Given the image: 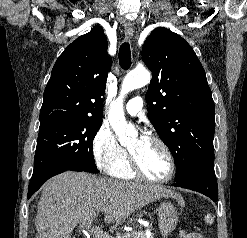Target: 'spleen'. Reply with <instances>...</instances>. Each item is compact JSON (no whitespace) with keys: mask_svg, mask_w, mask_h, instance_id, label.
I'll return each mask as SVG.
<instances>
[{"mask_svg":"<svg viewBox=\"0 0 247 238\" xmlns=\"http://www.w3.org/2000/svg\"><path fill=\"white\" fill-rule=\"evenodd\" d=\"M205 221L208 223V224H212L213 223V221H214V219H213V217L210 215V214H207L206 216H205Z\"/></svg>","mask_w":247,"mask_h":238,"instance_id":"1","label":"spleen"}]
</instances>
